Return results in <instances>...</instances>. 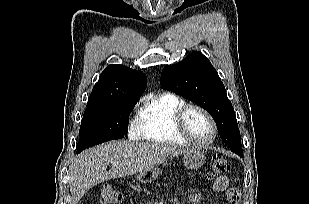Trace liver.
Here are the masks:
<instances>
[{
    "label": "liver",
    "instance_id": "liver-1",
    "mask_svg": "<svg viewBox=\"0 0 309 204\" xmlns=\"http://www.w3.org/2000/svg\"><path fill=\"white\" fill-rule=\"evenodd\" d=\"M188 150L157 143L111 141L83 151L69 168V185L77 203L95 185L149 170ZM112 168L106 171L108 165Z\"/></svg>",
    "mask_w": 309,
    "mask_h": 204
}]
</instances>
